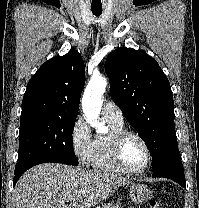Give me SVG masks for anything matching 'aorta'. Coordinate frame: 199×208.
Here are the masks:
<instances>
[{
    "label": "aorta",
    "instance_id": "762f6f07",
    "mask_svg": "<svg viewBox=\"0 0 199 208\" xmlns=\"http://www.w3.org/2000/svg\"><path fill=\"white\" fill-rule=\"evenodd\" d=\"M107 86V79L102 76H92L82 97V109L85 119L98 134H104L108 128L99 119L102 96Z\"/></svg>",
    "mask_w": 199,
    "mask_h": 208
}]
</instances>
